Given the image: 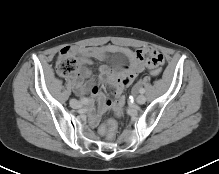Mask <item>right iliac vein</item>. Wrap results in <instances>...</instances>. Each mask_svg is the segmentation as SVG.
I'll return each instance as SVG.
<instances>
[{"label": "right iliac vein", "instance_id": "63e3f726", "mask_svg": "<svg viewBox=\"0 0 219 174\" xmlns=\"http://www.w3.org/2000/svg\"><path fill=\"white\" fill-rule=\"evenodd\" d=\"M70 105H71L72 108H75V109L81 107V103L79 101L75 100V99L70 100Z\"/></svg>", "mask_w": 219, "mask_h": 174}]
</instances>
